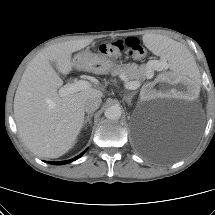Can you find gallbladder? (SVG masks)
<instances>
[{"mask_svg":"<svg viewBox=\"0 0 215 215\" xmlns=\"http://www.w3.org/2000/svg\"><path fill=\"white\" fill-rule=\"evenodd\" d=\"M51 65H52L54 68H56V69H57V67H56V65H55V63H54V62H51Z\"/></svg>","mask_w":215,"mask_h":215,"instance_id":"bac80fb5","label":"gallbladder"}]
</instances>
